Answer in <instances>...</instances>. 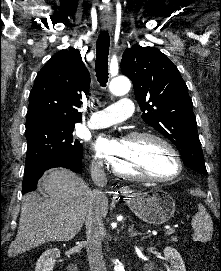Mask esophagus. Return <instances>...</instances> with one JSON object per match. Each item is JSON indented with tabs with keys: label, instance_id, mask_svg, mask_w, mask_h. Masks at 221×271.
Listing matches in <instances>:
<instances>
[{
	"label": "esophagus",
	"instance_id": "esophagus-1",
	"mask_svg": "<svg viewBox=\"0 0 221 271\" xmlns=\"http://www.w3.org/2000/svg\"><path fill=\"white\" fill-rule=\"evenodd\" d=\"M107 28H104L103 27V30H106ZM121 190L123 191V192H129V188H126V187H124V188H121Z\"/></svg>",
	"mask_w": 221,
	"mask_h": 271
}]
</instances>
